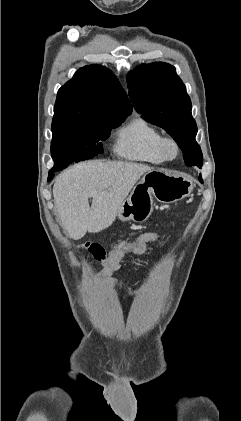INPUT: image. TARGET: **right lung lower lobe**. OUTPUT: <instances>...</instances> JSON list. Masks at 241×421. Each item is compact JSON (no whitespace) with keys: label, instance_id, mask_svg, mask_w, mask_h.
<instances>
[{"label":"right lung lower lobe","instance_id":"right-lung-lower-lobe-1","mask_svg":"<svg viewBox=\"0 0 241 421\" xmlns=\"http://www.w3.org/2000/svg\"><path fill=\"white\" fill-rule=\"evenodd\" d=\"M66 167H67V166H66ZM64 168H65V167H64ZM57 170L59 171V170H61V169H56V170L51 169V170H50V172H49V177H48V181H50V180L53 178L54 173H55Z\"/></svg>","mask_w":241,"mask_h":421}]
</instances>
